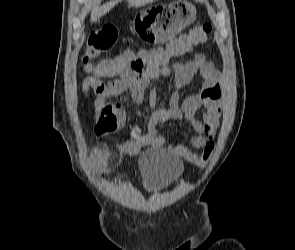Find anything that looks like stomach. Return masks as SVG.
<instances>
[{
    "label": "stomach",
    "instance_id": "obj_1",
    "mask_svg": "<svg viewBox=\"0 0 295 250\" xmlns=\"http://www.w3.org/2000/svg\"><path fill=\"white\" fill-rule=\"evenodd\" d=\"M196 16L194 5L186 0H177L139 10L134 27L136 35H140V40H147V45H164L195 21Z\"/></svg>",
    "mask_w": 295,
    "mask_h": 250
}]
</instances>
